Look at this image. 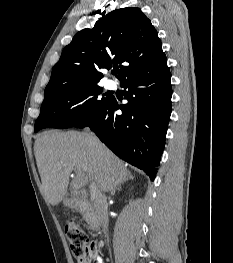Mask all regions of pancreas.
<instances>
[{"mask_svg": "<svg viewBox=\"0 0 233 263\" xmlns=\"http://www.w3.org/2000/svg\"><path fill=\"white\" fill-rule=\"evenodd\" d=\"M85 215V214H84ZM86 216V215H85ZM86 221L91 224L93 221L91 219L86 218Z\"/></svg>", "mask_w": 233, "mask_h": 263, "instance_id": "cf45deb5", "label": "pancreas"}]
</instances>
